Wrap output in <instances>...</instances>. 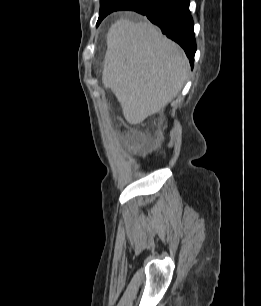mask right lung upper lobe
<instances>
[{
  "instance_id": "obj_1",
  "label": "right lung upper lobe",
  "mask_w": 261,
  "mask_h": 306,
  "mask_svg": "<svg viewBox=\"0 0 261 306\" xmlns=\"http://www.w3.org/2000/svg\"><path fill=\"white\" fill-rule=\"evenodd\" d=\"M104 1H108V0H101V2H104ZM130 1V0H129Z\"/></svg>"
}]
</instances>
